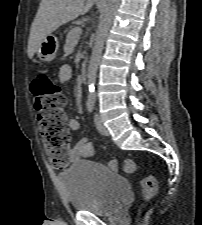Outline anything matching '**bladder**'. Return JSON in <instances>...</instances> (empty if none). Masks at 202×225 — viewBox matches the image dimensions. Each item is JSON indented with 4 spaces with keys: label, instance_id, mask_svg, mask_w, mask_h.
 Returning a JSON list of instances; mask_svg holds the SVG:
<instances>
[{
    "label": "bladder",
    "instance_id": "1",
    "mask_svg": "<svg viewBox=\"0 0 202 225\" xmlns=\"http://www.w3.org/2000/svg\"><path fill=\"white\" fill-rule=\"evenodd\" d=\"M61 182L72 210L98 216L116 213L131 191V184L123 175L89 159L73 163Z\"/></svg>",
    "mask_w": 202,
    "mask_h": 225
}]
</instances>
